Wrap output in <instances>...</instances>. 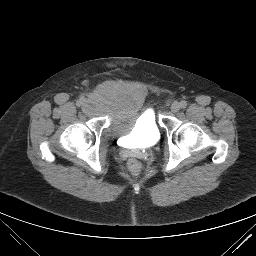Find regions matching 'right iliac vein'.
<instances>
[{"mask_svg": "<svg viewBox=\"0 0 256 256\" xmlns=\"http://www.w3.org/2000/svg\"><path fill=\"white\" fill-rule=\"evenodd\" d=\"M83 107H84V108H87V107H88L87 101L83 104Z\"/></svg>", "mask_w": 256, "mask_h": 256, "instance_id": "1", "label": "right iliac vein"}]
</instances>
